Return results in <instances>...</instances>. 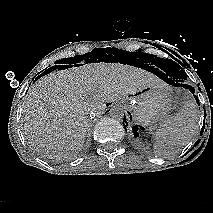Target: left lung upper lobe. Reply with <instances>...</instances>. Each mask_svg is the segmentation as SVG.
Wrapping results in <instances>:
<instances>
[{"mask_svg": "<svg viewBox=\"0 0 213 213\" xmlns=\"http://www.w3.org/2000/svg\"><path fill=\"white\" fill-rule=\"evenodd\" d=\"M158 61V65L163 71H165L173 80L183 83L187 79L185 71L173 60L155 58Z\"/></svg>", "mask_w": 213, "mask_h": 213, "instance_id": "1", "label": "left lung upper lobe"}]
</instances>
